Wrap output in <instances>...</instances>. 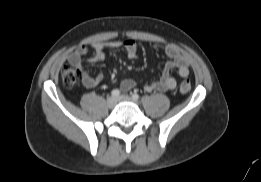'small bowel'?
Returning <instances> with one entry per match:
<instances>
[{
    "label": "small bowel",
    "instance_id": "1",
    "mask_svg": "<svg viewBox=\"0 0 261 182\" xmlns=\"http://www.w3.org/2000/svg\"><path fill=\"white\" fill-rule=\"evenodd\" d=\"M90 46L93 49L94 54L86 61H84L83 58L88 52V45L80 46L67 57L69 64L77 68L82 73V83L86 88H93L97 86L98 83L102 80V74H90L85 67V62L96 63L104 61L106 49H116L123 47L129 59H136L138 57V44L133 39H127L125 41L115 40L107 42H95ZM164 51L171 60L165 64L163 73L159 80L155 82H149L144 85V90L147 92L167 91L174 89L176 86V81L173 77L170 76V71L172 69H176L178 75L181 77H187L189 75V59L185 54L181 53L180 50L173 45H166L164 47ZM135 86L136 82L130 78L124 79L120 83V88L123 91L131 90Z\"/></svg>",
    "mask_w": 261,
    "mask_h": 182
}]
</instances>
